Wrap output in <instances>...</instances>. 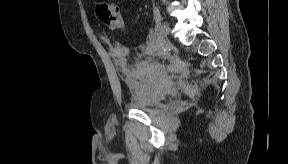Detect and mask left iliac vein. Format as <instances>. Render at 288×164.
I'll list each match as a JSON object with an SVG mask.
<instances>
[{
	"label": "left iliac vein",
	"mask_w": 288,
	"mask_h": 164,
	"mask_svg": "<svg viewBox=\"0 0 288 164\" xmlns=\"http://www.w3.org/2000/svg\"><path fill=\"white\" fill-rule=\"evenodd\" d=\"M170 32V27L167 24L161 25L157 30V42L160 48H163L167 41Z\"/></svg>",
	"instance_id": "4c4485c4"
}]
</instances>
